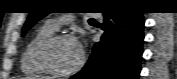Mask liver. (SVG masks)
<instances>
[{"label":"liver","mask_w":177,"mask_h":79,"mask_svg":"<svg viewBox=\"0 0 177 79\" xmlns=\"http://www.w3.org/2000/svg\"><path fill=\"white\" fill-rule=\"evenodd\" d=\"M32 79H49L48 77L44 76H38V77H33Z\"/></svg>","instance_id":"6515ba94"}]
</instances>
